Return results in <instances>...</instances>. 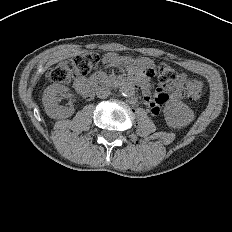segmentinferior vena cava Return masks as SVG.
<instances>
[{"label":"inferior vena cava","instance_id":"1","mask_svg":"<svg viewBox=\"0 0 232 232\" xmlns=\"http://www.w3.org/2000/svg\"><path fill=\"white\" fill-rule=\"evenodd\" d=\"M111 92L108 87L100 86L96 89V95L98 98L104 99L110 96Z\"/></svg>","mask_w":232,"mask_h":232}]
</instances>
